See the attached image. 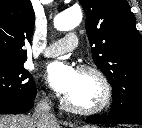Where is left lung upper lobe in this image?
<instances>
[{
    "mask_svg": "<svg viewBox=\"0 0 142 128\" xmlns=\"http://www.w3.org/2000/svg\"><path fill=\"white\" fill-rule=\"evenodd\" d=\"M92 58L113 88L112 113L142 108V46L126 0H79Z\"/></svg>",
    "mask_w": 142,
    "mask_h": 128,
    "instance_id": "left-lung-upper-lobe-1",
    "label": "left lung upper lobe"
}]
</instances>
